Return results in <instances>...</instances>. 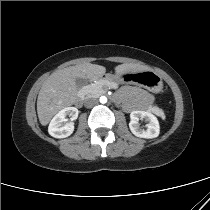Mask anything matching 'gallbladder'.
I'll use <instances>...</instances> for the list:
<instances>
[{"mask_svg": "<svg viewBox=\"0 0 210 210\" xmlns=\"http://www.w3.org/2000/svg\"><path fill=\"white\" fill-rule=\"evenodd\" d=\"M88 84V80L84 78H76V85L80 89Z\"/></svg>", "mask_w": 210, "mask_h": 210, "instance_id": "gallbladder-1", "label": "gallbladder"}]
</instances>
